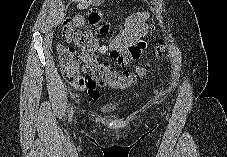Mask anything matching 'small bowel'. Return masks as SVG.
<instances>
[{"instance_id":"small-bowel-1","label":"small bowel","mask_w":227,"mask_h":157,"mask_svg":"<svg viewBox=\"0 0 227 157\" xmlns=\"http://www.w3.org/2000/svg\"><path fill=\"white\" fill-rule=\"evenodd\" d=\"M148 17V12H137L130 15L125 23L124 30L108 46L100 45L98 52L100 54L108 53L113 60L121 65L127 61L136 62L137 58H141L142 53V45L137 44V42L149 31L146 23ZM75 88L86 91L94 100H97L100 96L97 85L87 83L84 78H81L80 83Z\"/></svg>"}]
</instances>
